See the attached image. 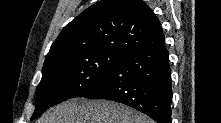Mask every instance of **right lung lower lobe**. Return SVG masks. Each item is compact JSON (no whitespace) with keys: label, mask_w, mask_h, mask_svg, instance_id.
Returning a JSON list of instances; mask_svg holds the SVG:
<instances>
[{"label":"right lung lower lobe","mask_w":221,"mask_h":123,"mask_svg":"<svg viewBox=\"0 0 221 123\" xmlns=\"http://www.w3.org/2000/svg\"><path fill=\"white\" fill-rule=\"evenodd\" d=\"M84 98L117 101L147 114L157 123H170L171 69L165 44L127 54L99 87Z\"/></svg>","instance_id":"98d812e1"}]
</instances>
